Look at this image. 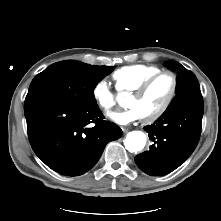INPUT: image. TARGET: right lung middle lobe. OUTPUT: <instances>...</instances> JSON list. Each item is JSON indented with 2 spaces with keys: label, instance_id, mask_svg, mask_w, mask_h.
<instances>
[{
  "label": "right lung middle lobe",
  "instance_id": "dd1d6c3e",
  "mask_svg": "<svg viewBox=\"0 0 221 221\" xmlns=\"http://www.w3.org/2000/svg\"><path fill=\"white\" fill-rule=\"evenodd\" d=\"M111 66H96L76 60L54 63L32 80L25 101L50 99L81 108L96 107L94 88Z\"/></svg>",
  "mask_w": 221,
  "mask_h": 221
}]
</instances>
